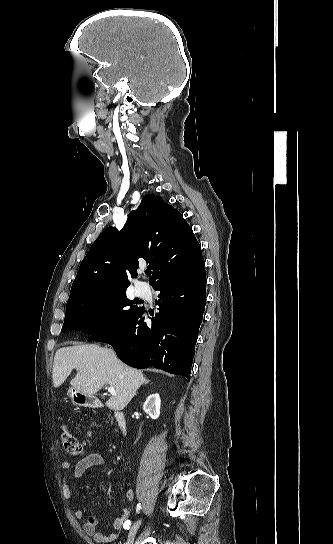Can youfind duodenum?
Masks as SVG:
<instances>
[{
    "label": "duodenum",
    "mask_w": 333,
    "mask_h": 544,
    "mask_svg": "<svg viewBox=\"0 0 333 544\" xmlns=\"http://www.w3.org/2000/svg\"><path fill=\"white\" fill-rule=\"evenodd\" d=\"M78 402L88 407H99L101 405L98 399L89 395H79ZM114 417L116 419V422L119 426L120 431L124 434L126 432L125 415L121 411H115Z\"/></svg>",
    "instance_id": "410a0bca"
}]
</instances>
